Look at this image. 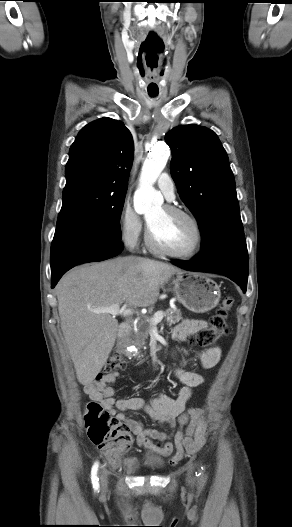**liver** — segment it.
Here are the masks:
<instances>
[{
  "label": "liver",
  "instance_id": "6515ba94",
  "mask_svg": "<svg viewBox=\"0 0 292 527\" xmlns=\"http://www.w3.org/2000/svg\"><path fill=\"white\" fill-rule=\"evenodd\" d=\"M178 272L164 262L128 256L76 267L60 279L56 294L61 329L82 385L92 383L101 371L118 331L113 316L94 310L122 302L150 306L160 287Z\"/></svg>",
  "mask_w": 292,
  "mask_h": 527
}]
</instances>
